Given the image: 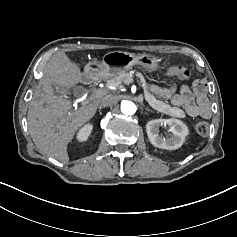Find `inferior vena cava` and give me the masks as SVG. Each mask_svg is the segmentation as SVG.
Instances as JSON below:
<instances>
[{
    "label": "inferior vena cava",
    "mask_w": 237,
    "mask_h": 237,
    "mask_svg": "<svg viewBox=\"0 0 237 237\" xmlns=\"http://www.w3.org/2000/svg\"><path fill=\"white\" fill-rule=\"evenodd\" d=\"M117 103V99L114 96H106L102 102L101 106L102 107H107V106H112Z\"/></svg>",
    "instance_id": "inferior-vena-cava-1"
}]
</instances>
